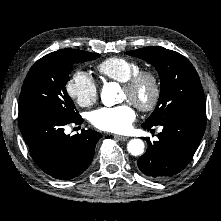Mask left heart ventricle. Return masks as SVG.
I'll list each match as a JSON object with an SVG mask.
<instances>
[{
  "label": "left heart ventricle",
  "instance_id": "left-heart-ventricle-1",
  "mask_svg": "<svg viewBox=\"0 0 221 221\" xmlns=\"http://www.w3.org/2000/svg\"><path fill=\"white\" fill-rule=\"evenodd\" d=\"M150 95H151L150 84L148 82H144L140 85V87L138 88V90L134 95H131L127 91L122 89L121 99L123 101L127 100L130 102L132 101L145 102L149 99Z\"/></svg>",
  "mask_w": 221,
  "mask_h": 221
}]
</instances>
